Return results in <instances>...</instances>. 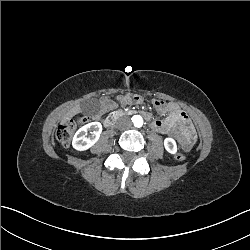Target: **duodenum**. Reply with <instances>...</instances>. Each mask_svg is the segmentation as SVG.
Listing matches in <instances>:
<instances>
[{
	"mask_svg": "<svg viewBox=\"0 0 250 250\" xmlns=\"http://www.w3.org/2000/svg\"><path fill=\"white\" fill-rule=\"evenodd\" d=\"M125 115L126 114L122 111H116L110 114L105 123L106 127L107 128L113 127L117 123V121L122 119Z\"/></svg>",
	"mask_w": 250,
	"mask_h": 250,
	"instance_id": "obj_1",
	"label": "duodenum"
}]
</instances>
